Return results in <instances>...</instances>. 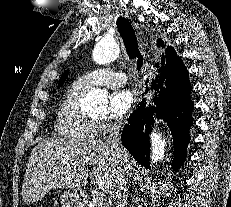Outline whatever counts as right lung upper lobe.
Instances as JSON below:
<instances>
[{
  "label": "right lung upper lobe",
  "instance_id": "1",
  "mask_svg": "<svg viewBox=\"0 0 231 207\" xmlns=\"http://www.w3.org/2000/svg\"><path fill=\"white\" fill-rule=\"evenodd\" d=\"M161 44H164V42L162 41V40H158L157 41V46H160ZM166 56H176V53H175V51L173 50V48L172 47H168L167 49H166ZM163 57H164V54H163Z\"/></svg>",
  "mask_w": 231,
  "mask_h": 207
}]
</instances>
